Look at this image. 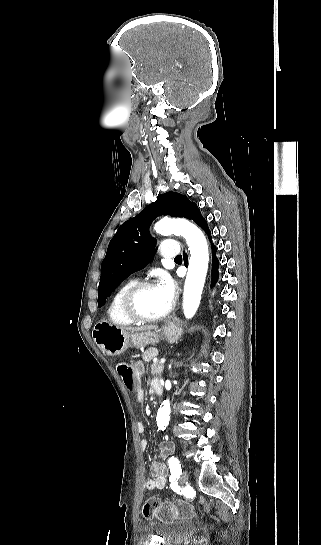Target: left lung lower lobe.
Listing matches in <instances>:
<instances>
[{"label":"left lung lower lobe","mask_w":321,"mask_h":545,"mask_svg":"<svg viewBox=\"0 0 321 545\" xmlns=\"http://www.w3.org/2000/svg\"><path fill=\"white\" fill-rule=\"evenodd\" d=\"M191 220H193L199 226H201L208 235L210 234V231L208 229L206 220L201 216V213H200L199 209L196 210V212L192 216ZM209 238L211 239V237H209ZM215 254H216V247L214 245H212V282H211V286H213L218 280L219 262H218V259L216 258ZM183 257H184V264L186 265L187 264V255L184 253Z\"/></svg>","instance_id":"0a47b994"}]
</instances>
